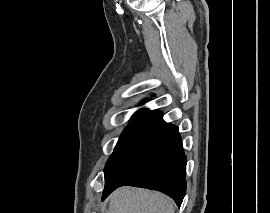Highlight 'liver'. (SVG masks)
Listing matches in <instances>:
<instances>
[{
  "label": "liver",
  "instance_id": "obj_1",
  "mask_svg": "<svg viewBox=\"0 0 270 213\" xmlns=\"http://www.w3.org/2000/svg\"><path fill=\"white\" fill-rule=\"evenodd\" d=\"M109 213H175V206L164 194L122 187L109 197Z\"/></svg>",
  "mask_w": 270,
  "mask_h": 213
}]
</instances>
